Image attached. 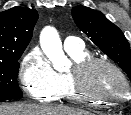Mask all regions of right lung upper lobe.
Here are the masks:
<instances>
[{"instance_id":"obj_1","label":"right lung upper lobe","mask_w":131,"mask_h":115,"mask_svg":"<svg viewBox=\"0 0 131 115\" xmlns=\"http://www.w3.org/2000/svg\"><path fill=\"white\" fill-rule=\"evenodd\" d=\"M37 19L35 9L13 7L0 12V59L25 50Z\"/></svg>"}]
</instances>
